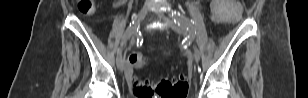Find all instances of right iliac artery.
Here are the masks:
<instances>
[{"label":"right iliac artery","instance_id":"82829eb1","mask_svg":"<svg viewBox=\"0 0 308 98\" xmlns=\"http://www.w3.org/2000/svg\"><path fill=\"white\" fill-rule=\"evenodd\" d=\"M135 28H136V24L134 22H132L130 24V26L127 28L126 32L124 33V35L122 37L121 44H120V46H119V48L117 50L118 55L121 54L123 45L134 34ZM137 30H138V28H137ZM117 66H118V63H117Z\"/></svg>","mask_w":308,"mask_h":98}]
</instances>
